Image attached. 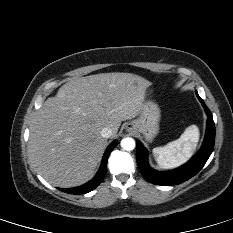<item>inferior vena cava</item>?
Listing matches in <instances>:
<instances>
[{
    "label": "inferior vena cava",
    "mask_w": 233,
    "mask_h": 233,
    "mask_svg": "<svg viewBox=\"0 0 233 233\" xmlns=\"http://www.w3.org/2000/svg\"><path fill=\"white\" fill-rule=\"evenodd\" d=\"M101 136L103 138H110L112 136V130L109 128H103L101 131Z\"/></svg>",
    "instance_id": "obj_1"
}]
</instances>
